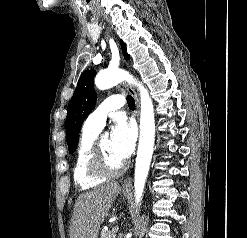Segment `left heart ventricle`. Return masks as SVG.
Returning <instances> with one entry per match:
<instances>
[{
    "mask_svg": "<svg viewBox=\"0 0 247 238\" xmlns=\"http://www.w3.org/2000/svg\"><path fill=\"white\" fill-rule=\"evenodd\" d=\"M101 148L102 151L106 157L107 162L113 166V167H118L123 160L120 159L114 152L111 147V141L109 138H103L101 139Z\"/></svg>",
    "mask_w": 247,
    "mask_h": 238,
    "instance_id": "obj_1",
    "label": "left heart ventricle"
}]
</instances>
